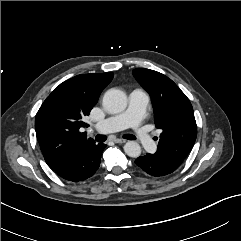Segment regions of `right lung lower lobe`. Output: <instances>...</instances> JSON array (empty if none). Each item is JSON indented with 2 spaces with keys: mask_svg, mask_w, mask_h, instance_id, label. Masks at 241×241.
Here are the masks:
<instances>
[{
  "mask_svg": "<svg viewBox=\"0 0 241 241\" xmlns=\"http://www.w3.org/2000/svg\"><path fill=\"white\" fill-rule=\"evenodd\" d=\"M106 145L94 144L84 150H74L52 170L67 181L79 182L93 176L101 161Z\"/></svg>",
  "mask_w": 241,
  "mask_h": 241,
  "instance_id": "98d812e1",
  "label": "right lung lower lobe"
}]
</instances>
